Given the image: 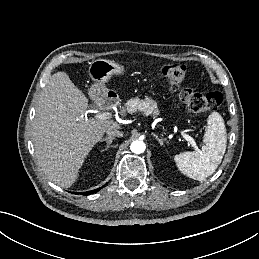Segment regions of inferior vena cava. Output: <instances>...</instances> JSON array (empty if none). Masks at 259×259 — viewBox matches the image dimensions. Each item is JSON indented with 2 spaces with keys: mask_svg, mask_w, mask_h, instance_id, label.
I'll list each match as a JSON object with an SVG mask.
<instances>
[{
  "mask_svg": "<svg viewBox=\"0 0 259 259\" xmlns=\"http://www.w3.org/2000/svg\"><path fill=\"white\" fill-rule=\"evenodd\" d=\"M108 136L122 137L123 133L116 128H110L106 130Z\"/></svg>",
  "mask_w": 259,
  "mask_h": 259,
  "instance_id": "1",
  "label": "inferior vena cava"
}]
</instances>
